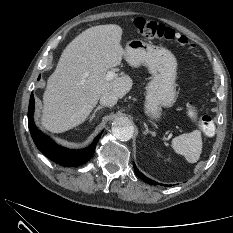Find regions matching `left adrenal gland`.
Wrapping results in <instances>:
<instances>
[{
  "label": "left adrenal gland",
  "instance_id": "1",
  "mask_svg": "<svg viewBox=\"0 0 233 233\" xmlns=\"http://www.w3.org/2000/svg\"><path fill=\"white\" fill-rule=\"evenodd\" d=\"M144 127H145V131L143 132L144 135H147V134H151L152 136H155L156 133L155 132H152L148 129V126L147 124L144 122Z\"/></svg>",
  "mask_w": 233,
  "mask_h": 233
}]
</instances>
